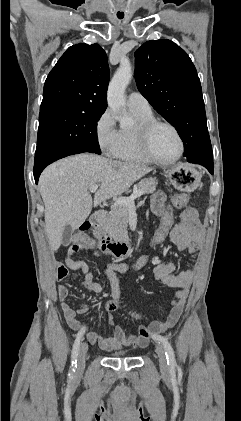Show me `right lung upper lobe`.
Returning a JSON list of instances; mask_svg holds the SVG:
<instances>
[{
	"mask_svg": "<svg viewBox=\"0 0 241 421\" xmlns=\"http://www.w3.org/2000/svg\"><path fill=\"white\" fill-rule=\"evenodd\" d=\"M109 66L98 44H76L49 73L40 111L64 109L103 112L107 108Z\"/></svg>",
	"mask_w": 241,
	"mask_h": 421,
	"instance_id": "right-lung-upper-lobe-1",
	"label": "right lung upper lobe"
}]
</instances>
